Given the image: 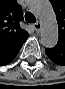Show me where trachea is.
I'll return each mask as SVG.
<instances>
[{
    "instance_id": "3493384b",
    "label": "trachea",
    "mask_w": 65,
    "mask_h": 89,
    "mask_svg": "<svg viewBox=\"0 0 65 89\" xmlns=\"http://www.w3.org/2000/svg\"><path fill=\"white\" fill-rule=\"evenodd\" d=\"M25 20L27 23H36V18L31 12L25 13Z\"/></svg>"
}]
</instances>
